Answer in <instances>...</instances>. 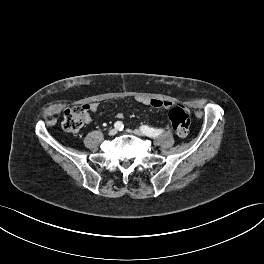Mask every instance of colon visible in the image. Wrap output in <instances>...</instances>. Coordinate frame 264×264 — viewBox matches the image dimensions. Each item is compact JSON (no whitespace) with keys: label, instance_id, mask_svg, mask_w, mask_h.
I'll list each match as a JSON object with an SVG mask.
<instances>
[{"label":"colon","instance_id":"5ec220e1","mask_svg":"<svg viewBox=\"0 0 264 264\" xmlns=\"http://www.w3.org/2000/svg\"><path fill=\"white\" fill-rule=\"evenodd\" d=\"M87 105L74 106L65 110L62 126L66 131L76 133L82 129L88 116ZM171 125L179 137H185L189 133L190 116L182 106H175L169 111Z\"/></svg>","mask_w":264,"mask_h":264}]
</instances>
